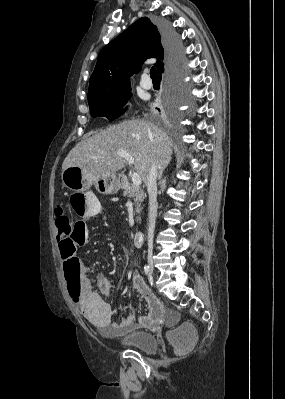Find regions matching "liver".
I'll return each mask as SVG.
<instances>
[{
	"label": "liver",
	"instance_id": "liver-1",
	"mask_svg": "<svg viewBox=\"0 0 285 399\" xmlns=\"http://www.w3.org/2000/svg\"><path fill=\"white\" fill-rule=\"evenodd\" d=\"M172 146L168 135L154 124L128 120L79 142L68 153L62 170L76 166L91 177L115 175L126 164L125 158L119 157L117 152L126 151L134 159L136 172L147 184L152 162L159 169L166 167L171 161Z\"/></svg>",
	"mask_w": 285,
	"mask_h": 399
}]
</instances>
